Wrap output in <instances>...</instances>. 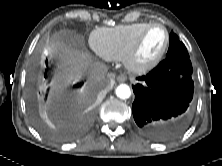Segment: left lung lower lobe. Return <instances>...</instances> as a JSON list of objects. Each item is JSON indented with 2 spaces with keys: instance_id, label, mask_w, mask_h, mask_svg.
Returning a JSON list of instances; mask_svg holds the SVG:
<instances>
[{
  "instance_id": "left-lung-lower-lobe-1",
  "label": "left lung lower lobe",
  "mask_w": 222,
  "mask_h": 166,
  "mask_svg": "<svg viewBox=\"0 0 222 166\" xmlns=\"http://www.w3.org/2000/svg\"><path fill=\"white\" fill-rule=\"evenodd\" d=\"M192 72L189 57L173 56L137 78L132 112L146 137L167 140L187 127L194 92Z\"/></svg>"
}]
</instances>
